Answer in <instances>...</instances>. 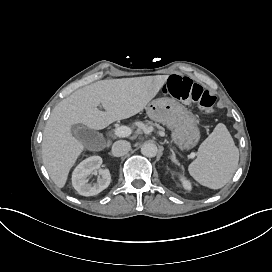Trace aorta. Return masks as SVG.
<instances>
[{"instance_id": "762f6f07", "label": "aorta", "mask_w": 272, "mask_h": 272, "mask_svg": "<svg viewBox=\"0 0 272 272\" xmlns=\"http://www.w3.org/2000/svg\"><path fill=\"white\" fill-rule=\"evenodd\" d=\"M141 153L148 158H153L157 156L158 148L155 144L145 143L141 147Z\"/></svg>"}]
</instances>
